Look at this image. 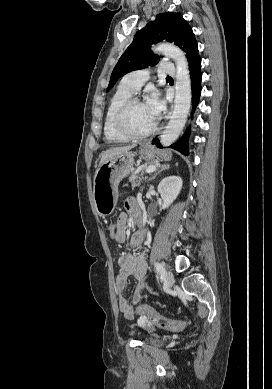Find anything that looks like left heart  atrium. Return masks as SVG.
Wrapping results in <instances>:
<instances>
[{
    "label": "left heart atrium",
    "instance_id": "1",
    "mask_svg": "<svg viewBox=\"0 0 272 389\" xmlns=\"http://www.w3.org/2000/svg\"><path fill=\"white\" fill-rule=\"evenodd\" d=\"M148 111L150 112L151 116L153 117L154 120H156L162 110H163V101L161 100L159 94L157 92H153L147 99L145 103Z\"/></svg>",
    "mask_w": 272,
    "mask_h": 389
}]
</instances>
